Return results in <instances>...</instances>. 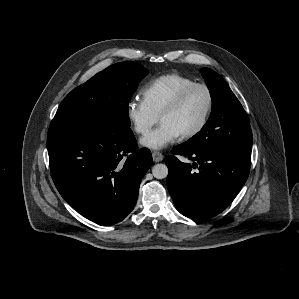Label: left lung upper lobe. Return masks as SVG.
<instances>
[{
  "instance_id": "1",
  "label": "left lung upper lobe",
  "mask_w": 299,
  "mask_h": 299,
  "mask_svg": "<svg viewBox=\"0 0 299 299\" xmlns=\"http://www.w3.org/2000/svg\"><path fill=\"white\" fill-rule=\"evenodd\" d=\"M201 72L211 94L212 111L201 131L184 144L203 152H251L252 132L243 106L219 74L208 68Z\"/></svg>"
}]
</instances>
